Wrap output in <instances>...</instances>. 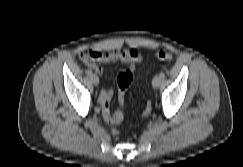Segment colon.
<instances>
[{"label": "colon", "instance_id": "colon-1", "mask_svg": "<svg viewBox=\"0 0 243 167\" xmlns=\"http://www.w3.org/2000/svg\"><path fill=\"white\" fill-rule=\"evenodd\" d=\"M155 57H156V59H158L160 61L169 62L172 60L173 55L168 51L160 50V51L156 52ZM133 79H134V73L130 69H124L118 75L117 84H118V88H119V97H120L121 104L124 103V92L129 87V85L133 82ZM150 112H151V107L148 106L144 112V116H148L150 114ZM122 117H123V115L121 113V120H122ZM113 133L116 135L117 131L115 129H113Z\"/></svg>", "mask_w": 243, "mask_h": 167}]
</instances>
